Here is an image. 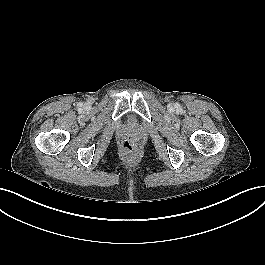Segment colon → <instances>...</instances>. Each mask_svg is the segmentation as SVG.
<instances>
[{"instance_id":"1","label":"colon","mask_w":265,"mask_h":265,"mask_svg":"<svg viewBox=\"0 0 265 265\" xmlns=\"http://www.w3.org/2000/svg\"><path fill=\"white\" fill-rule=\"evenodd\" d=\"M123 146L129 151H135L140 148V144L138 142L132 143L127 141L123 144Z\"/></svg>"}]
</instances>
